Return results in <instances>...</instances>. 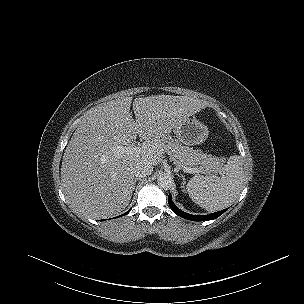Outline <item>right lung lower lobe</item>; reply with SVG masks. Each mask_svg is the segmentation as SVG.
Instances as JSON below:
<instances>
[{"label":"right lung lower lobe","instance_id":"1","mask_svg":"<svg viewBox=\"0 0 304 304\" xmlns=\"http://www.w3.org/2000/svg\"><path fill=\"white\" fill-rule=\"evenodd\" d=\"M130 211V210H129ZM129 211H127L126 213H124L123 215H126L127 213H129Z\"/></svg>","mask_w":304,"mask_h":304}]
</instances>
